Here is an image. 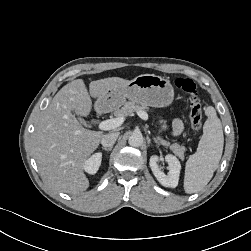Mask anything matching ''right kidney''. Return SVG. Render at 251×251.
<instances>
[{"instance_id": "obj_1", "label": "right kidney", "mask_w": 251, "mask_h": 251, "mask_svg": "<svg viewBox=\"0 0 251 251\" xmlns=\"http://www.w3.org/2000/svg\"><path fill=\"white\" fill-rule=\"evenodd\" d=\"M101 161H102V154L95 153L84 162L83 169L88 174H95L101 165Z\"/></svg>"}]
</instances>
